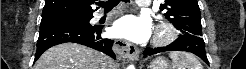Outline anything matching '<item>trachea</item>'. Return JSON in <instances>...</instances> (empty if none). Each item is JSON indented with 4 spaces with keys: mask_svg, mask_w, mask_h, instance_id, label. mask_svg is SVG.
Returning a JSON list of instances; mask_svg holds the SVG:
<instances>
[{
    "mask_svg": "<svg viewBox=\"0 0 246 69\" xmlns=\"http://www.w3.org/2000/svg\"><path fill=\"white\" fill-rule=\"evenodd\" d=\"M120 1L129 2L128 0H108L106 2H99V6L104 8L105 11H110L115 7Z\"/></svg>",
    "mask_w": 246,
    "mask_h": 69,
    "instance_id": "trachea-1",
    "label": "trachea"
}]
</instances>
